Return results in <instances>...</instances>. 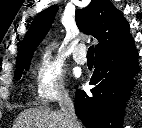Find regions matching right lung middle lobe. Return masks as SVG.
Instances as JSON below:
<instances>
[{
    "mask_svg": "<svg viewBox=\"0 0 142 128\" xmlns=\"http://www.w3.org/2000/svg\"><path fill=\"white\" fill-rule=\"evenodd\" d=\"M30 66V59L17 63V68H16V72H15V78L18 80L21 78L24 70H28Z\"/></svg>",
    "mask_w": 142,
    "mask_h": 128,
    "instance_id": "right-lung-middle-lobe-1",
    "label": "right lung middle lobe"
}]
</instances>
